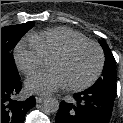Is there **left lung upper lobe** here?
<instances>
[{"mask_svg": "<svg viewBox=\"0 0 123 123\" xmlns=\"http://www.w3.org/2000/svg\"><path fill=\"white\" fill-rule=\"evenodd\" d=\"M101 44L104 53H105V63L104 69L102 72V77H100L96 83L90 87L92 89H105L116 92V68H115V59L113 54L108 47L107 43L102 40L99 41Z\"/></svg>", "mask_w": 123, "mask_h": 123, "instance_id": "left-lung-upper-lobe-1", "label": "left lung upper lobe"}]
</instances>
